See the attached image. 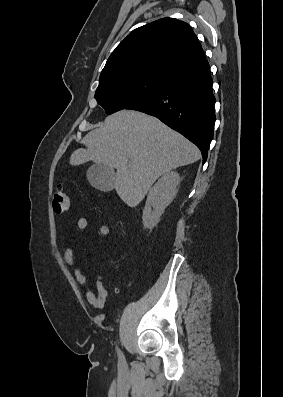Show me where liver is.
Instances as JSON below:
<instances>
[{
    "label": "liver",
    "instance_id": "obj_1",
    "mask_svg": "<svg viewBox=\"0 0 283 397\" xmlns=\"http://www.w3.org/2000/svg\"><path fill=\"white\" fill-rule=\"evenodd\" d=\"M70 165L88 161L117 170L114 187L121 200L136 207L163 174L200 159L199 149L157 118L120 110L83 139Z\"/></svg>",
    "mask_w": 283,
    "mask_h": 397
}]
</instances>
